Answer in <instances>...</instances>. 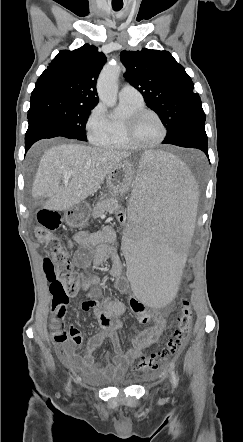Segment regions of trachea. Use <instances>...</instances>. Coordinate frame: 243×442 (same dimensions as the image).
I'll list each match as a JSON object with an SVG mask.
<instances>
[{
  "mask_svg": "<svg viewBox=\"0 0 243 442\" xmlns=\"http://www.w3.org/2000/svg\"><path fill=\"white\" fill-rule=\"evenodd\" d=\"M121 8H122V6H113V9H114L115 11H119Z\"/></svg>",
  "mask_w": 243,
  "mask_h": 442,
  "instance_id": "obj_1",
  "label": "trachea"
}]
</instances>
